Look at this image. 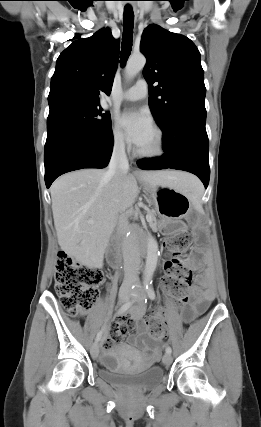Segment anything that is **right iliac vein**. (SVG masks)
Returning a JSON list of instances; mask_svg holds the SVG:
<instances>
[{
  "mask_svg": "<svg viewBox=\"0 0 261 427\" xmlns=\"http://www.w3.org/2000/svg\"><path fill=\"white\" fill-rule=\"evenodd\" d=\"M129 299V292L128 291H121L119 293V301L120 302H126ZM90 353L92 358L96 359L99 355V345L97 342L93 343V345L90 348Z\"/></svg>",
  "mask_w": 261,
  "mask_h": 427,
  "instance_id": "1",
  "label": "right iliac vein"
}]
</instances>
